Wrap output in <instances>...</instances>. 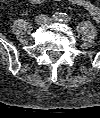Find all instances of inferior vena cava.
Wrapping results in <instances>:
<instances>
[{"mask_svg": "<svg viewBox=\"0 0 100 118\" xmlns=\"http://www.w3.org/2000/svg\"><path fill=\"white\" fill-rule=\"evenodd\" d=\"M39 17H41L43 19H47L48 18L46 15H40Z\"/></svg>", "mask_w": 100, "mask_h": 118, "instance_id": "602c4592", "label": "inferior vena cava"}]
</instances>
